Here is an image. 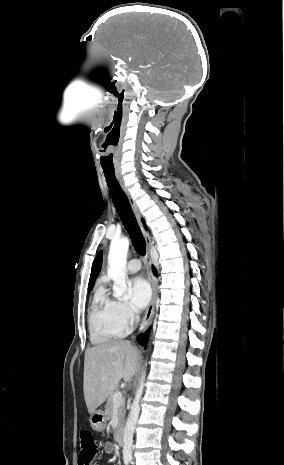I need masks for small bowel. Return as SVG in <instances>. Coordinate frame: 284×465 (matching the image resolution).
<instances>
[{
  "label": "small bowel",
  "instance_id": "c3829d8e",
  "mask_svg": "<svg viewBox=\"0 0 284 465\" xmlns=\"http://www.w3.org/2000/svg\"><path fill=\"white\" fill-rule=\"evenodd\" d=\"M104 451L105 453H110L111 452V447L109 445H107L105 448H104Z\"/></svg>",
  "mask_w": 284,
  "mask_h": 465
}]
</instances>
